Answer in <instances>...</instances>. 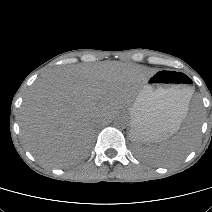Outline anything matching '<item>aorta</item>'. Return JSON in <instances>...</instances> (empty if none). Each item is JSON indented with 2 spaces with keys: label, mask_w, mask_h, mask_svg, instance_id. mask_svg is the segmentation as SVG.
Here are the masks:
<instances>
[{
  "label": "aorta",
  "mask_w": 212,
  "mask_h": 212,
  "mask_svg": "<svg viewBox=\"0 0 212 212\" xmlns=\"http://www.w3.org/2000/svg\"><path fill=\"white\" fill-rule=\"evenodd\" d=\"M127 124H128L127 119L125 117H122V116L116 118L115 121H114L115 127L119 128V129L125 128L127 126Z\"/></svg>",
  "instance_id": "762f6f07"
}]
</instances>
